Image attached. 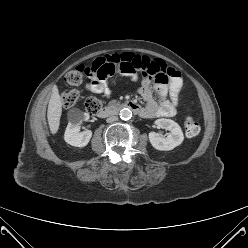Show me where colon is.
Here are the masks:
<instances>
[{"label": "colon", "mask_w": 248, "mask_h": 248, "mask_svg": "<svg viewBox=\"0 0 248 248\" xmlns=\"http://www.w3.org/2000/svg\"><path fill=\"white\" fill-rule=\"evenodd\" d=\"M116 68L114 62L109 56L101 57L91 65H83L66 73L65 81L69 85H79L85 76L94 75L98 78H105L111 74ZM80 98L78 90L73 89L63 93L62 104L65 109L72 108ZM85 107L88 113L96 114L102 107L101 101L95 97H90L85 102ZM185 131L187 136L194 137L200 132L199 122L192 116H187L185 119Z\"/></svg>", "instance_id": "obj_1"}]
</instances>
